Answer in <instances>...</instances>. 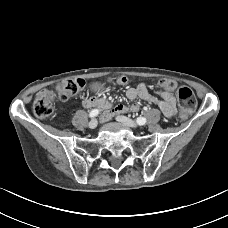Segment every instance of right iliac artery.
I'll return each mask as SVG.
<instances>
[{"mask_svg": "<svg viewBox=\"0 0 228 228\" xmlns=\"http://www.w3.org/2000/svg\"><path fill=\"white\" fill-rule=\"evenodd\" d=\"M99 114V110L98 109H94L89 113V117L93 118L95 116H97Z\"/></svg>", "mask_w": 228, "mask_h": 228, "instance_id": "1", "label": "right iliac artery"}]
</instances>
